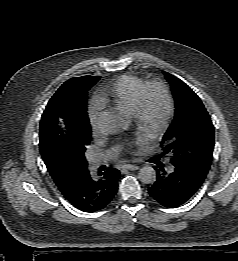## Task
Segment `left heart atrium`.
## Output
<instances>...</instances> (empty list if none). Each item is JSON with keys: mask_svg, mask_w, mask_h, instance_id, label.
<instances>
[{"mask_svg": "<svg viewBox=\"0 0 238 261\" xmlns=\"http://www.w3.org/2000/svg\"><path fill=\"white\" fill-rule=\"evenodd\" d=\"M149 139V134L145 132H140L135 135V137L127 143L128 148H132L135 145H143Z\"/></svg>", "mask_w": 238, "mask_h": 261, "instance_id": "left-heart-atrium-1", "label": "left heart atrium"}]
</instances>
